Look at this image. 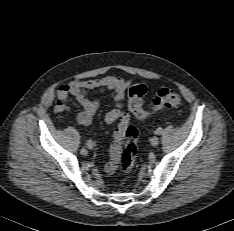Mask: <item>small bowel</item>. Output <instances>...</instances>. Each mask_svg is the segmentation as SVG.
<instances>
[{
	"instance_id": "1",
	"label": "small bowel",
	"mask_w": 234,
	"mask_h": 231,
	"mask_svg": "<svg viewBox=\"0 0 234 231\" xmlns=\"http://www.w3.org/2000/svg\"><path fill=\"white\" fill-rule=\"evenodd\" d=\"M130 81L121 77L108 75L100 79L74 80L61 85L57 90L58 101L54 107L55 113L70 111L68 105L69 96H73L82 106L83 110L77 114V121L80 125L88 126L98 110L99 102L88 97V93L93 90L110 91L114 103V108L108 111L104 117L105 122L111 124L118 119L121 123H128V115L122 110L126 92L130 87ZM116 170V165L110 160L104 167L107 174H112Z\"/></svg>"
}]
</instances>
